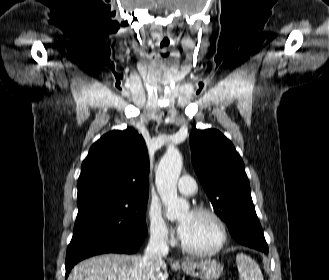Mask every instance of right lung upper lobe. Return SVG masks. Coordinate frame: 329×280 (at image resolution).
I'll list each match as a JSON object with an SVG mask.
<instances>
[{
  "instance_id": "cb5924a9",
  "label": "right lung upper lobe",
  "mask_w": 329,
  "mask_h": 280,
  "mask_svg": "<svg viewBox=\"0 0 329 280\" xmlns=\"http://www.w3.org/2000/svg\"><path fill=\"white\" fill-rule=\"evenodd\" d=\"M149 157L135 130H114L95 142L82 163L78 199L148 196Z\"/></svg>"
}]
</instances>
